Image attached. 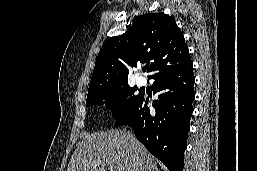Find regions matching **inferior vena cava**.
Wrapping results in <instances>:
<instances>
[{
  "label": "inferior vena cava",
  "mask_w": 257,
  "mask_h": 171,
  "mask_svg": "<svg viewBox=\"0 0 257 171\" xmlns=\"http://www.w3.org/2000/svg\"><path fill=\"white\" fill-rule=\"evenodd\" d=\"M132 171H140V168L135 159H134V163L132 165Z\"/></svg>",
  "instance_id": "1"
}]
</instances>
